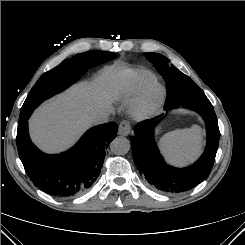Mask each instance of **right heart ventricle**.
<instances>
[{
    "label": "right heart ventricle",
    "mask_w": 245,
    "mask_h": 245,
    "mask_svg": "<svg viewBox=\"0 0 245 245\" xmlns=\"http://www.w3.org/2000/svg\"><path fill=\"white\" fill-rule=\"evenodd\" d=\"M156 82V77L150 71L137 70L131 77L128 94L134 99L142 94L147 86Z\"/></svg>",
    "instance_id": "e07e8e85"
}]
</instances>
